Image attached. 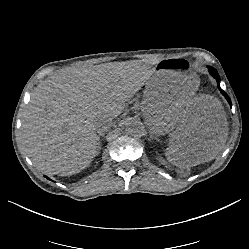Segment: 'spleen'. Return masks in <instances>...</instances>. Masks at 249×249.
Wrapping results in <instances>:
<instances>
[{
  "instance_id": "obj_1",
  "label": "spleen",
  "mask_w": 249,
  "mask_h": 249,
  "mask_svg": "<svg viewBox=\"0 0 249 249\" xmlns=\"http://www.w3.org/2000/svg\"><path fill=\"white\" fill-rule=\"evenodd\" d=\"M168 152H170L171 155H168ZM165 156L167 157L168 160H170V159L175 160V157H173V155H172V149L167 148L165 150Z\"/></svg>"
}]
</instances>
